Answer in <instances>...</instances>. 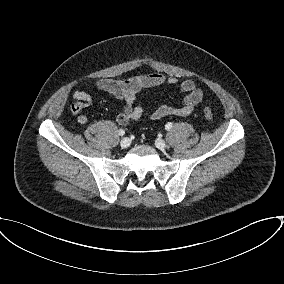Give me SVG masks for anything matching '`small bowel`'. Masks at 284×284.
Listing matches in <instances>:
<instances>
[{
	"label": "small bowel",
	"mask_w": 284,
	"mask_h": 284,
	"mask_svg": "<svg viewBox=\"0 0 284 284\" xmlns=\"http://www.w3.org/2000/svg\"><path fill=\"white\" fill-rule=\"evenodd\" d=\"M178 81L177 77H167L161 73H149L122 80L98 79L92 83V86L113 95L123 102L122 109L116 120L120 125H126L131 120H138L144 116H148L151 120H159L166 116H187L195 111L202 101L203 91L190 79L179 84V90L184 94L179 106L161 105L150 110L143 106L134 105L136 95L141 90L163 85H175ZM73 99L74 102L70 105L71 113L78 115L77 121L79 124H86L88 118L81 112L91 104V96L85 90L79 89L73 92Z\"/></svg>",
	"instance_id": "c3829d8e"
}]
</instances>
